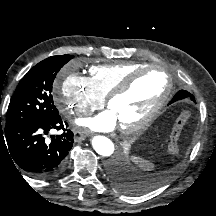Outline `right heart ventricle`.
<instances>
[{
	"instance_id": "e07e8e85",
	"label": "right heart ventricle",
	"mask_w": 216,
	"mask_h": 216,
	"mask_svg": "<svg viewBox=\"0 0 216 216\" xmlns=\"http://www.w3.org/2000/svg\"><path fill=\"white\" fill-rule=\"evenodd\" d=\"M142 66L136 62L93 65L89 68V80L94 91L104 99L128 74Z\"/></svg>"
}]
</instances>
